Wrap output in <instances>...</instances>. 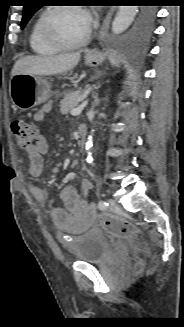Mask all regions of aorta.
Instances as JSON below:
<instances>
[{
	"mask_svg": "<svg viewBox=\"0 0 184 327\" xmlns=\"http://www.w3.org/2000/svg\"><path fill=\"white\" fill-rule=\"evenodd\" d=\"M138 12L137 6H120L119 11L112 23V31L115 34H120L124 29H127ZM94 131V130H92ZM92 147V136L88 138L86 143V150L90 151Z\"/></svg>",
	"mask_w": 184,
	"mask_h": 327,
	"instance_id": "obj_1",
	"label": "aorta"
}]
</instances>
